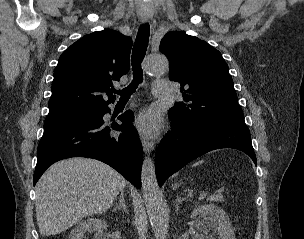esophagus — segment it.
Here are the masks:
<instances>
[{
	"instance_id": "obj_1",
	"label": "esophagus",
	"mask_w": 304,
	"mask_h": 239,
	"mask_svg": "<svg viewBox=\"0 0 304 239\" xmlns=\"http://www.w3.org/2000/svg\"><path fill=\"white\" fill-rule=\"evenodd\" d=\"M142 23H147L148 22V19L147 18H143L141 20ZM142 146H143V149H144V152L145 153H150L153 151L154 149V143L146 138H142Z\"/></svg>"
}]
</instances>
